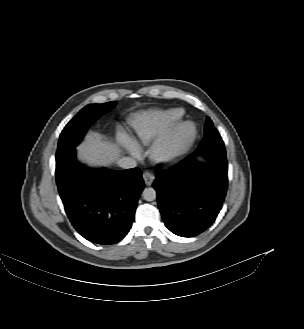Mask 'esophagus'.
I'll return each instance as SVG.
<instances>
[{
  "mask_svg": "<svg viewBox=\"0 0 304 329\" xmlns=\"http://www.w3.org/2000/svg\"><path fill=\"white\" fill-rule=\"evenodd\" d=\"M154 175L151 172H144L143 179L147 186H150L154 181Z\"/></svg>",
  "mask_w": 304,
  "mask_h": 329,
  "instance_id": "esophagus-1",
  "label": "esophagus"
}]
</instances>
